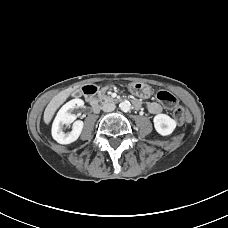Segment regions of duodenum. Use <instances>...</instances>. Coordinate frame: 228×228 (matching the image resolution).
Returning a JSON list of instances; mask_svg holds the SVG:
<instances>
[{
	"mask_svg": "<svg viewBox=\"0 0 228 228\" xmlns=\"http://www.w3.org/2000/svg\"><path fill=\"white\" fill-rule=\"evenodd\" d=\"M83 94L86 100L89 102L93 110H98L99 100L97 99V87L95 85H85L83 88Z\"/></svg>",
	"mask_w": 228,
	"mask_h": 228,
	"instance_id": "obj_1",
	"label": "duodenum"
}]
</instances>
